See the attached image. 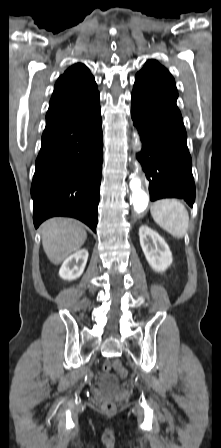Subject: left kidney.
I'll return each mask as SVG.
<instances>
[{
    "label": "left kidney",
    "mask_w": 221,
    "mask_h": 448,
    "mask_svg": "<svg viewBox=\"0 0 221 448\" xmlns=\"http://www.w3.org/2000/svg\"><path fill=\"white\" fill-rule=\"evenodd\" d=\"M139 237L149 265L156 272H164L173 261L172 253L165 240L146 225L140 227Z\"/></svg>",
    "instance_id": "5707ae66"
}]
</instances>
